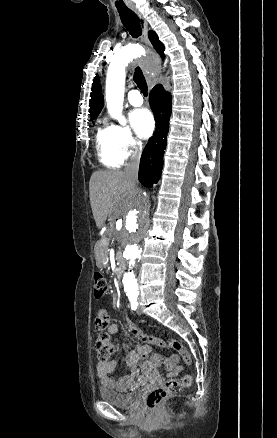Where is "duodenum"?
Listing matches in <instances>:
<instances>
[{"mask_svg": "<svg viewBox=\"0 0 277 438\" xmlns=\"http://www.w3.org/2000/svg\"><path fill=\"white\" fill-rule=\"evenodd\" d=\"M116 263L120 270H123L126 267L125 259L121 253L116 254Z\"/></svg>", "mask_w": 277, "mask_h": 438, "instance_id": "obj_1", "label": "duodenum"}]
</instances>
